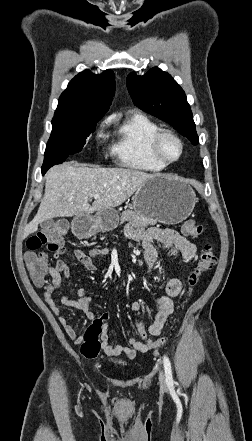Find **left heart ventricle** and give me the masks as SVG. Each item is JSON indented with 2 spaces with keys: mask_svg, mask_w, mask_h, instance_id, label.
<instances>
[{
  "mask_svg": "<svg viewBox=\"0 0 252 441\" xmlns=\"http://www.w3.org/2000/svg\"><path fill=\"white\" fill-rule=\"evenodd\" d=\"M180 152L179 144L171 139L165 138L161 143V153L166 159H175Z\"/></svg>",
  "mask_w": 252,
  "mask_h": 441,
  "instance_id": "left-heart-ventricle-1",
  "label": "left heart ventricle"
}]
</instances>
